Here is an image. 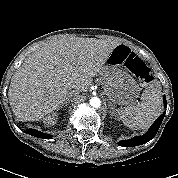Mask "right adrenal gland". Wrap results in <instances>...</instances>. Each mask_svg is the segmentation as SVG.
I'll return each instance as SVG.
<instances>
[{
	"mask_svg": "<svg viewBox=\"0 0 178 178\" xmlns=\"http://www.w3.org/2000/svg\"><path fill=\"white\" fill-rule=\"evenodd\" d=\"M70 97H71V96H69V97L66 99V101L64 102V104L62 105V107L68 106V104H69V102H70Z\"/></svg>",
	"mask_w": 178,
	"mask_h": 178,
	"instance_id": "right-adrenal-gland-1",
	"label": "right adrenal gland"
}]
</instances>
